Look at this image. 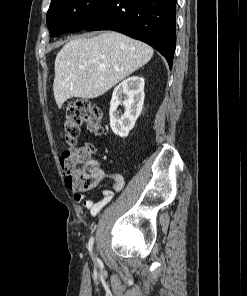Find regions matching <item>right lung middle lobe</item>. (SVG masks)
<instances>
[{
    "mask_svg": "<svg viewBox=\"0 0 247 296\" xmlns=\"http://www.w3.org/2000/svg\"><path fill=\"white\" fill-rule=\"evenodd\" d=\"M102 0H51L47 12V26L50 35L58 36L66 32L86 28L97 12Z\"/></svg>",
    "mask_w": 247,
    "mask_h": 296,
    "instance_id": "right-lung-middle-lobe-1",
    "label": "right lung middle lobe"
}]
</instances>
